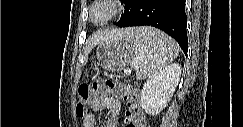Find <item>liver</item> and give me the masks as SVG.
Segmentation results:
<instances>
[{
  "mask_svg": "<svg viewBox=\"0 0 243 127\" xmlns=\"http://www.w3.org/2000/svg\"><path fill=\"white\" fill-rule=\"evenodd\" d=\"M134 31L135 29L127 28V29H113V30H105V31L97 32L88 39L86 49L87 51H90L93 47H95L98 44L110 40H116L122 37H127L133 34Z\"/></svg>",
  "mask_w": 243,
  "mask_h": 127,
  "instance_id": "6515ba94",
  "label": "liver"
}]
</instances>
